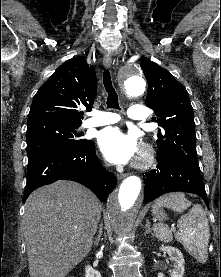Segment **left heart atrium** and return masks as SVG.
<instances>
[{"label":"left heart atrium","instance_id":"left-heart-atrium-1","mask_svg":"<svg viewBox=\"0 0 221 277\" xmlns=\"http://www.w3.org/2000/svg\"><path fill=\"white\" fill-rule=\"evenodd\" d=\"M99 147L111 163L125 164L136 159L140 153L135 135L124 133L119 128H106L99 133Z\"/></svg>","mask_w":221,"mask_h":277}]
</instances>
